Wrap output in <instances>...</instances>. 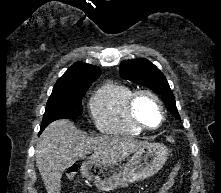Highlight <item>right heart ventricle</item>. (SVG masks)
Segmentation results:
<instances>
[{
    "mask_svg": "<svg viewBox=\"0 0 221 193\" xmlns=\"http://www.w3.org/2000/svg\"><path fill=\"white\" fill-rule=\"evenodd\" d=\"M133 94L131 87L115 82H108L95 92L89 109L100 131L126 136H138L143 132L129 113L128 104Z\"/></svg>",
    "mask_w": 221,
    "mask_h": 193,
    "instance_id": "1",
    "label": "right heart ventricle"
}]
</instances>
